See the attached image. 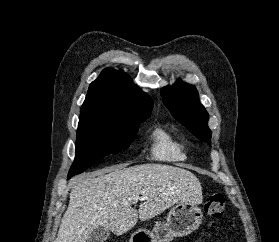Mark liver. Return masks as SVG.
I'll use <instances>...</instances> for the list:
<instances>
[{"instance_id": "6515ba94", "label": "liver", "mask_w": 279, "mask_h": 242, "mask_svg": "<svg viewBox=\"0 0 279 242\" xmlns=\"http://www.w3.org/2000/svg\"><path fill=\"white\" fill-rule=\"evenodd\" d=\"M146 196L138 211L136 196ZM180 201L200 204L202 188L190 171L162 164L112 166L74 179L55 242H86L97 228L115 235L131 230Z\"/></svg>"}]
</instances>
